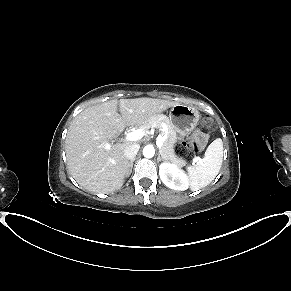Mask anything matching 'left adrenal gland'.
Masks as SVG:
<instances>
[{
  "label": "left adrenal gland",
  "instance_id": "left-adrenal-gland-1",
  "mask_svg": "<svg viewBox=\"0 0 291 291\" xmlns=\"http://www.w3.org/2000/svg\"><path fill=\"white\" fill-rule=\"evenodd\" d=\"M157 160H158V162H159V161H161V160H163V158H162V157H160V154L158 155V158H157Z\"/></svg>",
  "mask_w": 291,
  "mask_h": 291
}]
</instances>
